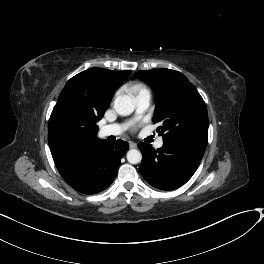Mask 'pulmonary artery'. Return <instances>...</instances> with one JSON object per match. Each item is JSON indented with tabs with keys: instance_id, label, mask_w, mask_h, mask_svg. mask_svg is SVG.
I'll return each mask as SVG.
<instances>
[{
	"instance_id": "e3ab8cb5",
	"label": "pulmonary artery",
	"mask_w": 264,
	"mask_h": 264,
	"mask_svg": "<svg viewBox=\"0 0 264 264\" xmlns=\"http://www.w3.org/2000/svg\"><path fill=\"white\" fill-rule=\"evenodd\" d=\"M151 102L150 92L144 91L136 95V115H143L149 108ZM126 126L123 124H110L101 128L102 136H116L125 130ZM163 146V139L159 138L155 141V147L161 148Z\"/></svg>"
}]
</instances>
